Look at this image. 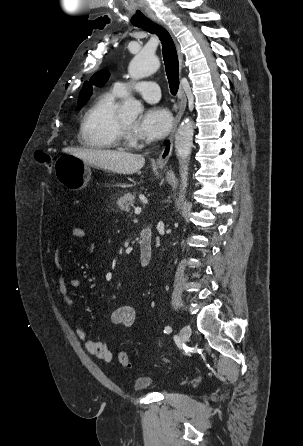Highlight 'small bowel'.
<instances>
[{"label": "small bowel", "instance_id": "small-bowel-1", "mask_svg": "<svg viewBox=\"0 0 303 446\" xmlns=\"http://www.w3.org/2000/svg\"><path fill=\"white\" fill-rule=\"evenodd\" d=\"M71 236L75 240H84L86 238V232L81 227H73L71 229ZM62 247L60 246L55 253V268L57 271V285L60 294L63 296V300L70 307L73 308V300L69 294L71 289H78L82 283L78 278H68L65 269L61 263ZM136 318V311L129 305L121 306L115 309L111 315V320L115 324L123 326H131ZM78 337L85 342V348L88 353L96 356L97 358L110 362L112 360V353L108 346L102 342L94 341L87 338L86 332L79 328L77 329Z\"/></svg>", "mask_w": 303, "mask_h": 446}]
</instances>
